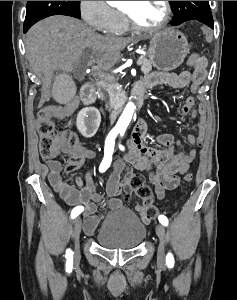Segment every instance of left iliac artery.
Wrapping results in <instances>:
<instances>
[{
	"mask_svg": "<svg viewBox=\"0 0 237 300\" xmlns=\"http://www.w3.org/2000/svg\"><path fill=\"white\" fill-rule=\"evenodd\" d=\"M123 135H124V132H121V136H123ZM119 148H120L121 150H124V147H123L122 145H119ZM158 219H159V222H160L162 225L168 226V219H167L166 216L160 215V216L158 217ZM166 264H167V266L170 267V268L174 266V257H173V255H172L171 253H168L167 256H166Z\"/></svg>",
	"mask_w": 237,
	"mask_h": 300,
	"instance_id": "1",
	"label": "left iliac artery"
}]
</instances>
